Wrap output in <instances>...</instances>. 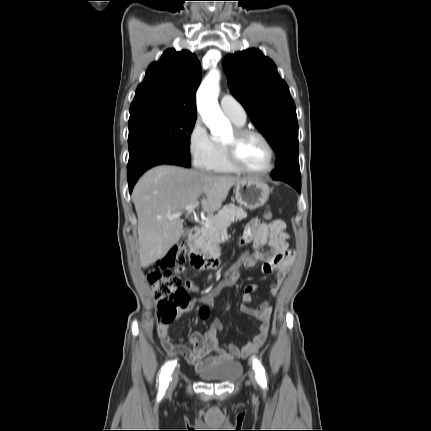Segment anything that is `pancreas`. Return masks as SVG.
Segmentation results:
<instances>
[{"label": "pancreas", "mask_w": 431, "mask_h": 431, "mask_svg": "<svg viewBox=\"0 0 431 431\" xmlns=\"http://www.w3.org/2000/svg\"><path fill=\"white\" fill-rule=\"evenodd\" d=\"M247 217V212L240 206L229 204L224 206L215 216H209L202 227L199 238V248L208 256L220 254L219 243L222 232L234 221H240Z\"/></svg>", "instance_id": "obj_1"}]
</instances>
